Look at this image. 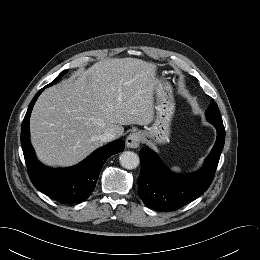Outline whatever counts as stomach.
<instances>
[{
    "instance_id": "obj_1",
    "label": "stomach",
    "mask_w": 260,
    "mask_h": 260,
    "mask_svg": "<svg viewBox=\"0 0 260 260\" xmlns=\"http://www.w3.org/2000/svg\"><path fill=\"white\" fill-rule=\"evenodd\" d=\"M156 118L154 124L142 132L143 137L152 146L164 145L169 142L171 120L175 112V100L172 85L158 79L155 86Z\"/></svg>"
}]
</instances>
